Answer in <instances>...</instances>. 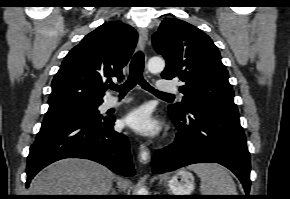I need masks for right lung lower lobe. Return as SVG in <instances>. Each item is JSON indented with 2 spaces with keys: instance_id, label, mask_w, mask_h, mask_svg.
<instances>
[{
  "instance_id": "obj_1",
  "label": "right lung lower lobe",
  "mask_w": 290,
  "mask_h": 199,
  "mask_svg": "<svg viewBox=\"0 0 290 199\" xmlns=\"http://www.w3.org/2000/svg\"><path fill=\"white\" fill-rule=\"evenodd\" d=\"M114 117L42 123L27 158V181L47 165L64 158L96 161L114 173L135 174L128 138L113 130Z\"/></svg>"
}]
</instances>
